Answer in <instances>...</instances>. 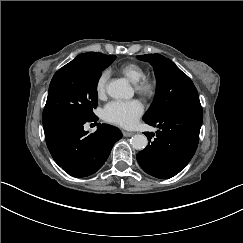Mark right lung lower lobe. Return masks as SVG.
I'll return each mask as SVG.
<instances>
[{
    "label": "right lung lower lobe",
    "mask_w": 243,
    "mask_h": 243,
    "mask_svg": "<svg viewBox=\"0 0 243 243\" xmlns=\"http://www.w3.org/2000/svg\"><path fill=\"white\" fill-rule=\"evenodd\" d=\"M97 119L70 116L43 125L53 159L71 176L81 178L97 172L122 137L119 129L107 124H98L97 130L88 135L83 125Z\"/></svg>",
    "instance_id": "1"
}]
</instances>
